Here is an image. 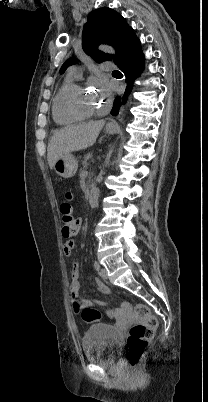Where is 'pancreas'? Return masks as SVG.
<instances>
[{"label": "pancreas", "instance_id": "1", "mask_svg": "<svg viewBox=\"0 0 208 402\" xmlns=\"http://www.w3.org/2000/svg\"><path fill=\"white\" fill-rule=\"evenodd\" d=\"M90 158H92V154H87V156L84 158V162H82L84 172L88 166V160H90Z\"/></svg>", "mask_w": 208, "mask_h": 402}]
</instances>
